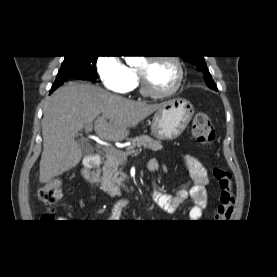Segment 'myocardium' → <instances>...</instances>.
Here are the masks:
<instances>
[{
	"mask_svg": "<svg viewBox=\"0 0 277 277\" xmlns=\"http://www.w3.org/2000/svg\"><path fill=\"white\" fill-rule=\"evenodd\" d=\"M157 60H166L173 64V66L176 69V79L174 84L167 91L153 92L148 88L144 73L140 69H137L138 81L140 86V92L144 96H147L153 99H164L175 94L181 87L183 78H184V68L180 59L173 55H159V56L148 57L146 61L150 62V61H157Z\"/></svg>",
	"mask_w": 277,
	"mask_h": 277,
	"instance_id": "myocardium-1",
	"label": "myocardium"
}]
</instances>
